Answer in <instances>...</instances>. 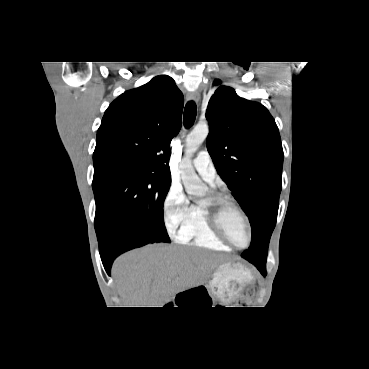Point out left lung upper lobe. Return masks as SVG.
Wrapping results in <instances>:
<instances>
[{
	"label": "left lung upper lobe",
	"mask_w": 369,
	"mask_h": 369,
	"mask_svg": "<svg viewBox=\"0 0 369 369\" xmlns=\"http://www.w3.org/2000/svg\"><path fill=\"white\" fill-rule=\"evenodd\" d=\"M206 119L208 152L251 224V244L241 256L266 262L282 188L284 155L278 127L261 103L239 97L228 86L212 95Z\"/></svg>",
	"instance_id": "obj_1"
}]
</instances>
